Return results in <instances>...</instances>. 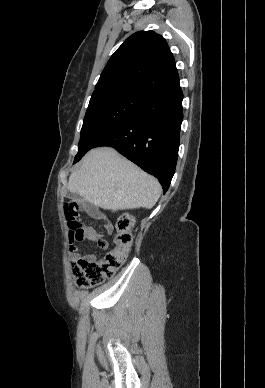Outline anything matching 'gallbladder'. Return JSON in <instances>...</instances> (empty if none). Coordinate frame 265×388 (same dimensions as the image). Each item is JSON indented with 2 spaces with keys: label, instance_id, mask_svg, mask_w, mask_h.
<instances>
[{
  "label": "gallbladder",
  "instance_id": "gallbladder-1",
  "mask_svg": "<svg viewBox=\"0 0 265 388\" xmlns=\"http://www.w3.org/2000/svg\"><path fill=\"white\" fill-rule=\"evenodd\" d=\"M66 198H69V200H72V202H81L80 196L78 194H66Z\"/></svg>",
  "mask_w": 265,
  "mask_h": 388
}]
</instances>
